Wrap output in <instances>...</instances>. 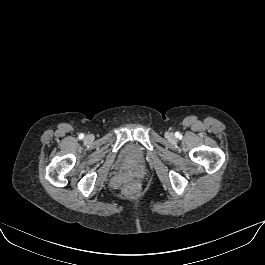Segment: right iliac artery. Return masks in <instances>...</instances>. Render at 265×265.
<instances>
[{
  "label": "right iliac artery",
  "mask_w": 265,
  "mask_h": 265,
  "mask_svg": "<svg viewBox=\"0 0 265 265\" xmlns=\"http://www.w3.org/2000/svg\"><path fill=\"white\" fill-rule=\"evenodd\" d=\"M83 138H84V134H80L79 139H83Z\"/></svg>",
  "instance_id": "obj_1"
}]
</instances>
